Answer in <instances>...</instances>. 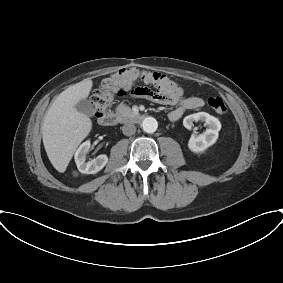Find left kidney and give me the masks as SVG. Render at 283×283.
<instances>
[{
	"label": "left kidney",
	"mask_w": 283,
	"mask_h": 283,
	"mask_svg": "<svg viewBox=\"0 0 283 283\" xmlns=\"http://www.w3.org/2000/svg\"><path fill=\"white\" fill-rule=\"evenodd\" d=\"M198 120L204 121L208 128L202 134H193L191 136L188 142V148L194 153L203 152L213 145L217 141L221 129L220 121L206 112H198L186 116L183 120V125L187 129H191L194 125L193 122Z\"/></svg>",
	"instance_id": "left-kidney-1"
}]
</instances>
